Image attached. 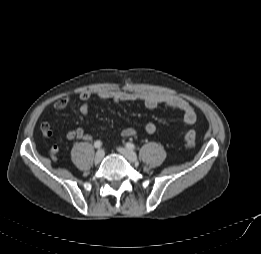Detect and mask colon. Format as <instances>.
Segmentation results:
<instances>
[{
  "mask_svg": "<svg viewBox=\"0 0 261 254\" xmlns=\"http://www.w3.org/2000/svg\"><path fill=\"white\" fill-rule=\"evenodd\" d=\"M45 134L48 135L49 131H46ZM184 141L187 148H193L196 141L195 132L193 130L188 131L184 136Z\"/></svg>",
  "mask_w": 261,
  "mask_h": 254,
  "instance_id": "5ec220e1",
  "label": "colon"
}]
</instances>
